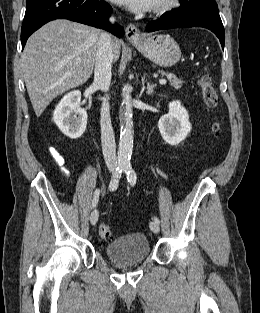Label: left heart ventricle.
Returning a JSON list of instances; mask_svg holds the SVG:
<instances>
[{
    "instance_id": "obj_1",
    "label": "left heart ventricle",
    "mask_w": 260,
    "mask_h": 313,
    "mask_svg": "<svg viewBox=\"0 0 260 313\" xmlns=\"http://www.w3.org/2000/svg\"><path fill=\"white\" fill-rule=\"evenodd\" d=\"M159 1H161V0H155L154 4L158 3Z\"/></svg>"
}]
</instances>
